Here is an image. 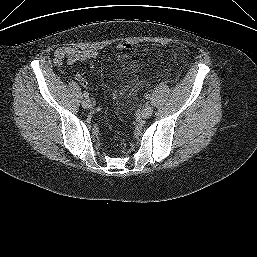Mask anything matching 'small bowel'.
Returning <instances> with one entry per match:
<instances>
[{"label":"small bowel","mask_w":257,"mask_h":257,"mask_svg":"<svg viewBox=\"0 0 257 257\" xmlns=\"http://www.w3.org/2000/svg\"><path fill=\"white\" fill-rule=\"evenodd\" d=\"M133 54L126 53L118 56V60L124 64L125 70L133 76L137 77L139 67L137 63L131 60ZM98 57V52L93 49H74L71 47H61L54 52V63L56 66H61L66 63L68 65H73L78 62H88L90 67L93 68L94 60ZM76 81L86 87L88 82L85 77L81 74H76Z\"/></svg>","instance_id":"small-bowel-1"}]
</instances>
